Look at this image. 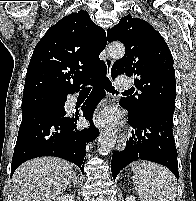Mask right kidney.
Segmentation results:
<instances>
[{"mask_svg": "<svg viewBox=\"0 0 196 201\" xmlns=\"http://www.w3.org/2000/svg\"><path fill=\"white\" fill-rule=\"evenodd\" d=\"M55 201H74V196L72 194H65L58 197Z\"/></svg>", "mask_w": 196, "mask_h": 201, "instance_id": "1", "label": "right kidney"}]
</instances>
